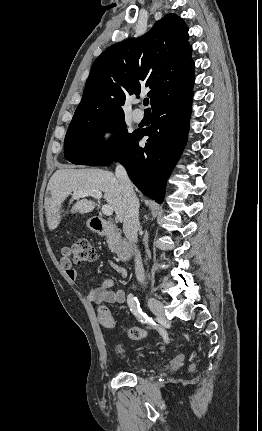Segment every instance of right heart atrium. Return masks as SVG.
<instances>
[{
    "mask_svg": "<svg viewBox=\"0 0 262 431\" xmlns=\"http://www.w3.org/2000/svg\"><path fill=\"white\" fill-rule=\"evenodd\" d=\"M116 132L112 128H104L100 131L98 135V143L101 146H108L110 145L115 138Z\"/></svg>",
    "mask_w": 262,
    "mask_h": 431,
    "instance_id": "right-heart-atrium-1",
    "label": "right heart atrium"
}]
</instances>
